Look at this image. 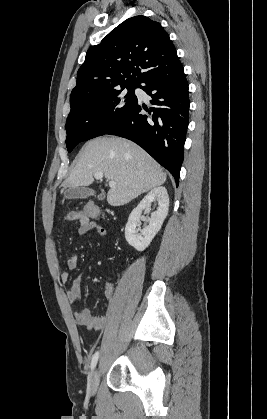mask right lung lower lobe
<instances>
[{
    "label": "right lung lower lobe",
    "mask_w": 267,
    "mask_h": 419,
    "mask_svg": "<svg viewBox=\"0 0 267 419\" xmlns=\"http://www.w3.org/2000/svg\"><path fill=\"white\" fill-rule=\"evenodd\" d=\"M151 98L148 109L138 100L105 134L127 138L148 152L179 182L189 119V92L180 61L149 74L138 86ZM147 114H143L142 110Z\"/></svg>",
    "instance_id": "right-lung-lower-lobe-1"
}]
</instances>
